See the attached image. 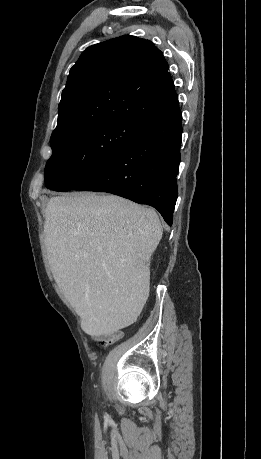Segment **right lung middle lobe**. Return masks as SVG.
<instances>
[{
	"instance_id": "obj_1",
	"label": "right lung middle lobe",
	"mask_w": 261,
	"mask_h": 459,
	"mask_svg": "<svg viewBox=\"0 0 261 459\" xmlns=\"http://www.w3.org/2000/svg\"><path fill=\"white\" fill-rule=\"evenodd\" d=\"M145 126L133 120H117L81 133L51 137L46 187L55 191L73 189L118 156Z\"/></svg>"
}]
</instances>
